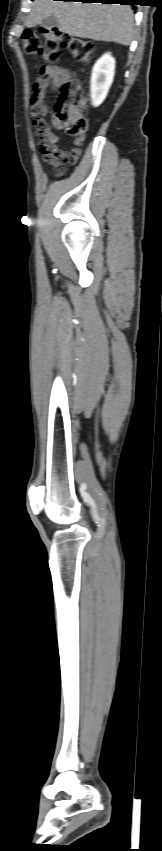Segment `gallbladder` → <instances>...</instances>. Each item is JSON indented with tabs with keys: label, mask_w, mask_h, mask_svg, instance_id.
I'll return each mask as SVG.
<instances>
[{
	"label": "gallbladder",
	"mask_w": 162,
	"mask_h": 851,
	"mask_svg": "<svg viewBox=\"0 0 162 851\" xmlns=\"http://www.w3.org/2000/svg\"><path fill=\"white\" fill-rule=\"evenodd\" d=\"M58 25V20L55 16L46 17L41 20L40 26L43 28H53Z\"/></svg>",
	"instance_id": "bac80fb5"
}]
</instances>
